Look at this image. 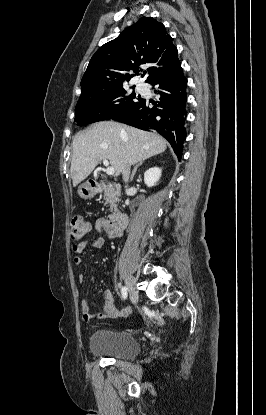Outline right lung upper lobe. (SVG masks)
<instances>
[{
	"label": "right lung upper lobe",
	"instance_id": "right-lung-upper-lobe-1",
	"mask_svg": "<svg viewBox=\"0 0 266 415\" xmlns=\"http://www.w3.org/2000/svg\"><path fill=\"white\" fill-rule=\"evenodd\" d=\"M146 63L150 65L147 83L180 65L172 37L162 23L151 17H142L97 50L81 80L80 98L123 86L134 76L124 72H138L139 66Z\"/></svg>",
	"mask_w": 266,
	"mask_h": 415
}]
</instances>
